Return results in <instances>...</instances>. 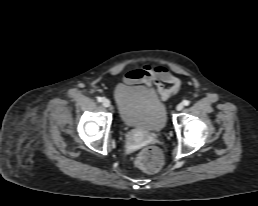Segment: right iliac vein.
I'll list each match as a JSON object with an SVG mask.
<instances>
[{
  "label": "right iliac vein",
  "mask_w": 258,
  "mask_h": 206,
  "mask_svg": "<svg viewBox=\"0 0 258 206\" xmlns=\"http://www.w3.org/2000/svg\"><path fill=\"white\" fill-rule=\"evenodd\" d=\"M102 104H103L104 107H109L111 105V102H110V100L104 98L102 100Z\"/></svg>",
  "instance_id": "63e3f726"
}]
</instances>
